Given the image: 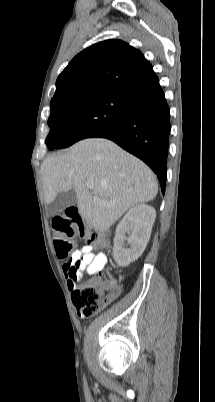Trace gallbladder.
<instances>
[{
	"instance_id": "gallbladder-1",
	"label": "gallbladder",
	"mask_w": 215,
	"mask_h": 402,
	"mask_svg": "<svg viewBox=\"0 0 215 402\" xmlns=\"http://www.w3.org/2000/svg\"><path fill=\"white\" fill-rule=\"evenodd\" d=\"M77 203L76 194L72 191L60 192L55 199L48 204L47 211L49 216H53L67 207Z\"/></svg>"
}]
</instances>
